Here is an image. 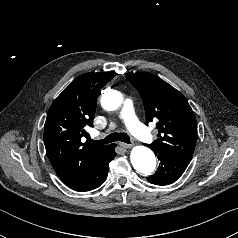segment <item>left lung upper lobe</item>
I'll return each mask as SVG.
<instances>
[{"instance_id": "obj_1", "label": "left lung upper lobe", "mask_w": 238, "mask_h": 238, "mask_svg": "<svg viewBox=\"0 0 238 238\" xmlns=\"http://www.w3.org/2000/svg\"><path fill=\"white\" fill-rule=\"evenodd\" d=\"M126 76L142 97L146 125L157 122L158 138L148 146L154 153L191 159L197 139V121L187 99L154 74L128 73Z\"/></svg>"}]
</instances>
